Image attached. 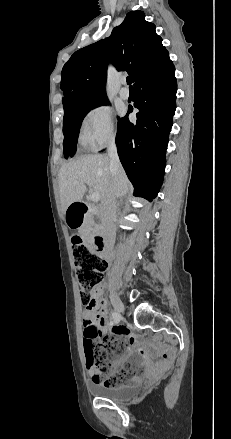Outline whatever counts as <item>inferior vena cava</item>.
Returning <instances> with one entry per match:
<instances>
[{"label": "inferior vena cava", "mask_w": 231, "mask_h": 439, "mask_svg": "<svg viewBox=\"0 0 231 439\" xmlns=\"http://www.w3.org/2000/svg\"><path fill=\"white\" fill-rule=\"evenodd\" d=\"M107 151L110 158V170L116 174L121 165L114 141L109 143ZM116 198V191L112 188L106 198L101 202L102 223L107 230L109 238L115 236Z\"/></svg>", "instance_id": "obj_1"}]
</instances>
